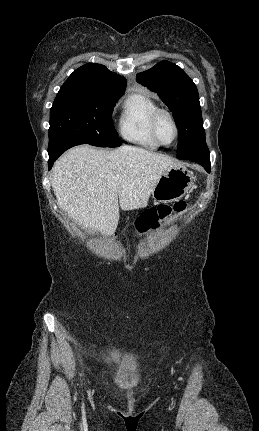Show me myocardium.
<instances>
[{"mask_svg":"<svg viewBox=\"0 0 259 431\" xmlns=\"http://www.w3.org/2000/svg\"><path fill=\"white\" fill-rule=\"evenodd\" d=\"M161 115H166L170 119V121H171V123L173 125V128H174V137H173L172 141L169 142V143L162 142L160 140L159 136H158L157 123H158V120H159V118H160ZM150 130H151V134H152L153 138L155 139V141L160 146H169V145L173 144L176 141V139L178 138V135H179V127H178V124H177V121H176L174 115L172 114L171 111H169L168 109H165V108H159L158 107L152 113V115L150 117Z\"/></svg>","mask_w":259,"mask_h":431,"instance_id":"1","label":"myocardium"}]
</instances>
